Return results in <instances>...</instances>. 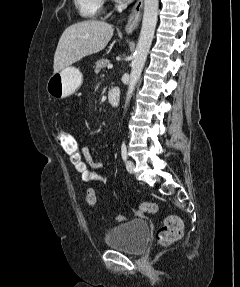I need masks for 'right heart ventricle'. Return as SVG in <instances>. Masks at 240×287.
<instances>
[{"mask_svg":"<svg viewBox=\"0 0 240 287\" xmlns=\"http://www.w3.org/2000/svg\"><path fill=\"white\" fill-rule=\"evenodd\" d=\"M79 14L88 19L97 18L103 10V0H74Z\"/></svg>","mask_w":240,"mask_h":287,"instance_id":"right-heart-ventricle-1","label":"right heart ventricle"}]
</instances>
